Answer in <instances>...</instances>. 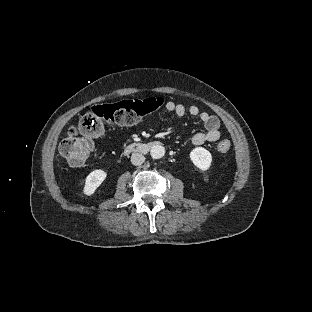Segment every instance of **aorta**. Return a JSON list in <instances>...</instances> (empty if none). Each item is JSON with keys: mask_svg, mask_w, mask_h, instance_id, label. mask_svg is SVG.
Returning a JSON list of instances; mask_svg holds the SVG:
<instances>
[{"mask_svg": "<svg viewBox=\"0 0 312 312\" xmlns=\"http://www.w3.org/2000/svg\"><path fill=\"white\" fill-rule=\"evenodd\" d=\"M153 159H160L165 155V148L161 145H153L150 150Z\"/></svg>", "mask_w": 312, "mask_h": 312, "instance_id": "obj_1", "label": "aorta"}]
</instances>
